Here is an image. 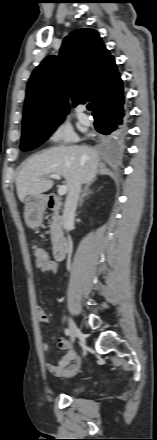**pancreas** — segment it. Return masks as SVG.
<instances>
[{
	"instance_id": "obj_1",
	"label": "pancreas",
	"mask_w": 157,
	"mask_h": 440,
	"mask_svg": "<svg viewBox=\"0 0 157 440\" xmlns=\"http://www.w3.org/2000/svg\"><path fill=\"white\" fill-rule=\"evenodd\" d=\"M52 222L50 224V233H51V241L53 244H55L61 233H62V217L59 215L58 211H55L54 214L52 215Z\"/></svg>"
}]
</instances>
